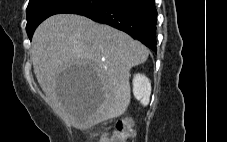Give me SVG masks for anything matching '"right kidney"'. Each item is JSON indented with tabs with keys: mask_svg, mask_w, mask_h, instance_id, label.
Masks as SVG:
<instances>
[{
	"mask_svg": "<svg viewBox=\"0 0 227 142\" xmlns=\"http://www.w3.org/2000/svg\"><path fill=\"white\" fill-rule=\"evenodd\" d=\"M133 94L144 106L148 105L151 94V83L142 74H136L133 78Z\"/></svg>",
	"mask_w": 227,
	"mask_h": 142,
	"instance_id": "obj_1",
	"label": "right kidney"
}]
</instances>
